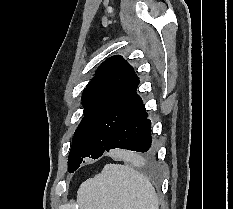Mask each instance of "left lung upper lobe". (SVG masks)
Returning a JSON list of instances; mask_svg holds the SVG:
<instances>
[{
    "label": "left lung upper lobe",
    "mask_w": 233,
    "mask_h": 209,
    "mask_svg": "<svg viewBox=\"0 0 233 209\" xmlns=\"http://www.w3.org/2000/svg\"><path fill=\"white\" fill-rule=\"evenodd\" d=\"M139 78L121 56L105 60L82 94L84 118L75 131L68 158L73 172L83 158L100 157L120 120L137 98Z\"/></svg>",
    "instance_id": "left-lung-upper-lobe-1"
}]
</instances>
